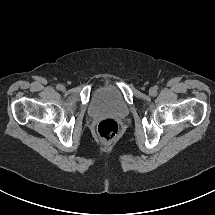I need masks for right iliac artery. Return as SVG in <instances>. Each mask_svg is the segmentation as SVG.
<instances>
[{
  "label": "right iliac artery",
  "instance_id": "82829eb1",
  "mask_svg": "<svg viewBox=\"0 0 215 215\" xmlns=\"http://www.w3.org/2000/svg\"><path fill=\"white\" fill-rule=\"evenodd\" d=\"M61 84H58L57 86H56V88L58 89V90H60V88H61Z\"/></svg>",
  "mask_w": 215,
  "mask_h": 215
}]
</instances>
